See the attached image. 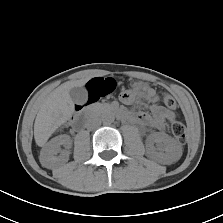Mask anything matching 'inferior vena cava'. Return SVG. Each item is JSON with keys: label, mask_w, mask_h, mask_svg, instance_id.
Here are the masks:
<instances>
[{"label": "inferior vena cava", "mask_w": 223, "mask_h": 223, "mask_svg": "<svg viewBox=\"0 0 223 223\" xmlns=\"http://www.w3.org/2000/svg\"><path fill=\"white\" fill-rule=\"evenodd\" d=\"M100 123H101V120L99 118H92L87 123V128L88 129L97 128L100 125Z\"/></svg>", "instance_id": "602c4592"}]
</instances>
